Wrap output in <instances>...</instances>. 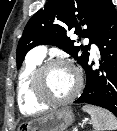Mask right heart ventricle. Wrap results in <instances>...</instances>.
Returning <instances> with one entry per match:
<instances>
[{"label":"right heart ventricle","instance_id":"1","mask_svg":"<svg viewBox=\"0 0 117 131\" xmlns=\"http://www.w3.org/2000/svg\"><path fill=\"white\" fill-rule=\"evenodd\" d=\"M42 60L39 58H28L18 76L17 100L20 111L23 114L32 115L46 109V105L38 102L34 98L31 90L34 72L42 63Z\"/></svg>","mask_w":117,"mask_h":131}]
</instances>
